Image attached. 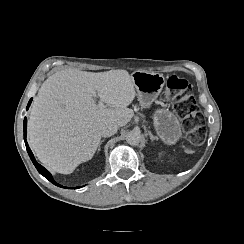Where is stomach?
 <instances>
[{"mask_svg":"<svg viewBox=\"0 0 244 244\" xmlns=\"http://www.w3.org/2000/svg\"><path fill=\"white\" fill-rule=\"evenodd\" d=\"M132 79L138 94L140 105L148 108L160 95L165 77L162 73L135 71ZM151 119L160 140L167 147L175 146L182 139V124L177 115L166 107L156 108Z\"/></svg>","mask_w":244,"mask_h":244,"instance_id":"1","label":"stomach"}]
</instances>
